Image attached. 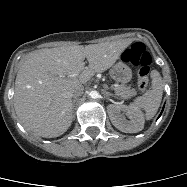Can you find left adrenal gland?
<instances>
[{
	"mask_svg": "<svg viewBox=\"0 0 187 187\" xmlns=\"http://www.w3.org/2000/svg\"><path fill=\"white\" fill-rule=\"evenodd\" d=\"M104 95L109 98L110 96L111 97H114V98H117L114 94L110 93V92H107V91H104Z\"/></svg>",
	"mask_w": 187,
	"mask_h": 187,
	"instance_id": "left-adrenal-gland-1",
	"label": "left adrenal gland"
}]
</instances>
